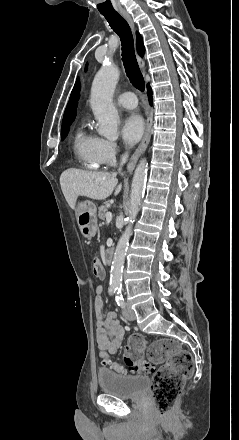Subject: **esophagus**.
<instances>
[{
    "label": "esophagus",
    "instance_id": "esophagus-1",
    "mask_svg": "<svg viewBox=\"0 0 239 440\" xmlns=\"http://www.w3.org/2000/svg\"><path fill=\"white\" fill-rule=\"evenodd\" d=\"M120 14L129 23L130 27L134 31L135 30L134 23L129 15V13H127L125 10H122V11H120ZM138 63L140 65V67L142 69H144L143 59L139 56H138ZM152 120H153V115H152V113H150V115L148 116L147 121H146V130H145L144 136L141 140V143L139 144V146L137 147V149L135 150V152L133 153V155L131 156V158L128 162L127 171L129 173L133 171L139 157L142 155V153L145 152L146 148L148 147V144H149L150 138H151V133H152Z\"/></svg>",
    "mask_w": 239,
    "mask_h": 440
}]
</instances>
